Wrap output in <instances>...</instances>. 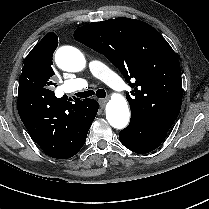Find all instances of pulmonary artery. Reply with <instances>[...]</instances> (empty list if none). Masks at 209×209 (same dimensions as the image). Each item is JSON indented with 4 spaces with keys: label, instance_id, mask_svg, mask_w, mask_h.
<instances>
[{
    "label": "pulmonary artery",
    "instance_id": "obj_1",
    "mask_svg": "<svg viewBox=\"0 0 209 209\" xmlns=\"http://www.w3.org/2000/svg\"><path fill=\"white\" fill-rule=\"evenodd\" d=\"M88 69L93 78L105 82L116 92L120 91L121 81L119 76L104 62L98 59H91L88 63ZM87 83L85 78H78L73 82L65 81L63 83V91L65 93H71L74 90H80L86 87Z\"/></svg>",
    "mask_w": 209,
    "mask_h": 209
}]
</instances>
